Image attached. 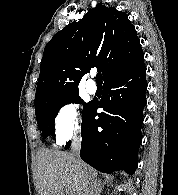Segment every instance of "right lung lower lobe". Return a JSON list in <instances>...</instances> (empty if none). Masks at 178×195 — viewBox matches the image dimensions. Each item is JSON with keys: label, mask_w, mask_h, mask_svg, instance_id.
<instances>
[{"label": "right lung lower lobe", "mask_w": 178, "mask_h": 195, "mask_svg": "<svg viewBox=\"0 0 178 195\" xmlns=\"http://www.w3.org/2000/svg\"><path fill=\"white\" fill-rule=\"evenodd\" d=\"M103 89L100 102L90 103L82 116L80 157L103 173L123 170L133 174L138 165L146 105L144 60L133 69L104 80ZM98 108L104 111L97 113Z\"/></svg>", "instance_id": "right-lung-lower-lobe-1"}]
</instances>
